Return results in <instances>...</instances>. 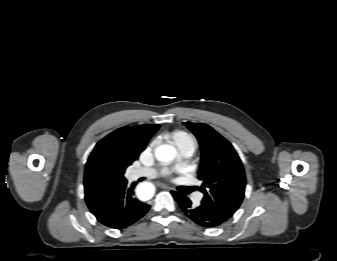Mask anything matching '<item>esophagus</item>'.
Returning a JSON list of instances; mask_svg holds the SVG:
<instances>
[{
  "label": "esophagus",
  "mask_w": 337,
  "mask_h": 261,
  "mask_svg": "<svg viewBox=\"0 0 337 261\" xmlns=\"http://www.w3.org/2000/svg\"><path fill=\"white\" fill-rule=\"evenodd\" d=\"M158 186L163 188V189L171 190V187H169L168 185H165V184H158Z\"/></svg>",
  "instance_id": "esophagus-1"
}]
</instances>
